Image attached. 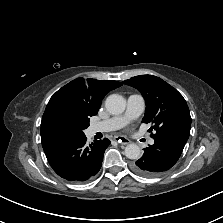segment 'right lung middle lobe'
<instances>
[{
	"mask_svg": "<svg viewBox=\"0 0 223 223\" xmlns=\"http://www.w3.org/2000/svg\"><path fill=\"white\" fill-rule=\"evenodd\" d=\"M69 126L75 134L82 137L84 136L83 130L89 126L88 119H73L69 122Z\"/></svg>",
	"mask_w": 223,
	"mask_h": 223,
	"instance_id": "1",
	"label": "right lung middle lobe"
}]
</instances>
